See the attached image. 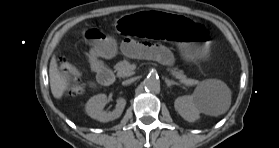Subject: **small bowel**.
Wrapping results in <instances>:
<instances>
[{"mask_svg": "<svg viewBox=\"0 0 279 148\" xmlns=\"http://www.w3.org/2000/svg\"><path fill=\"white\" fill-rule=\"evenodd\" d=\"M121 50L130 58L155 59L162 64L172 62V55L165 47L132 37L123 40Z\"/></svg>", "mask_w": 279, "mask_h": 148, "instance_id": "obj_1", "label": "small bowel"}]
</instances>
